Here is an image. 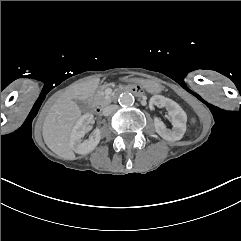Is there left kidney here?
<instances>
[{"label":"left kidney","mask_w":241,"mask_h":241,"mask_svg":"<svg viewBox=\"0 0 241 241\" xmlns=\"http://www.w3.org/2000/svg\"><path fill=\"white\" fill-rule=\"evenodd\" d=\"M164 107L168 116L172 119V129H166L164 124L156 119L154 123L156 133L168 142H176L182 139L186 131L187 117L182 108L173 100L164 96L155 95L150 99V106Z\"/></svg>","instance_id":"obj_1"}]
</instances>
